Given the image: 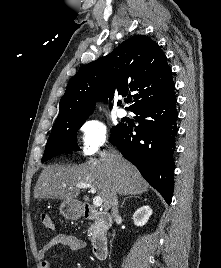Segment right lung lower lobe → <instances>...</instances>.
Here are the masks:
<instances>
[{"label":"right lung lower lobe","instance_id":"1","mask_svg":"<svg viewBox=\"0 0 221 268\" xmlns=\"http://www.w3.org/2000/svg\"><path fill=\"white\" fill-rule=\"evenodd\" d=\"M139 125L122 124L111 132L110 142L133 163L142 176L170 204L174 187L177 109L175 94L133 111Z\"/></svg>","mask_w":221,"mask_h":268}]
</instances>
